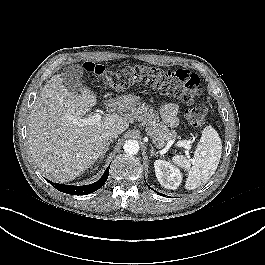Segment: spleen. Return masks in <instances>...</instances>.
Listing matches in <instances>:
<instances>
[{"label": "spleen", "mask_w": 265, "mask_h": 265, "mask_svg": "<svg viewBox=\"0 0 265 265\" xmlns=\"http://www.w3.org/2000/svg\"><path fill=\"white\" fill-rule=\"evenodd\" d=\"M221 153L222 142L218 133L212 126H206L193 159L188 160L183 155H177L172 158L176 165L188 171L185 183L186 189H196L211 178L218 167Z\"/></svg>", "instance_id": "1"}]
</instances>
